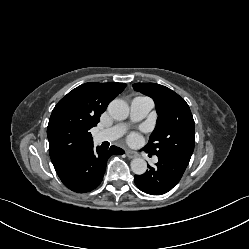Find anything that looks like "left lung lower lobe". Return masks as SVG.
Returning a JSON list of instances; mask_svg holds the SVG:
<instances>
[{"label": "left lung lower lobe", "mask_w": 249, "mask_h": 249, "mask_svg": "<svg viewBox=\"0 0 249 249\" xmlns=\"http://www.w3.org/2000/svg\"><path fill=\"white\" fill-rule=\"evenodd\" d=\"M159 161L156 167L148 165L149 170L143 175H135L136 186L143 192L151 195H161L170 191L181 179L189 162L157 155Z\"/></svg>", "instance_id": "1"}]
</instances>
